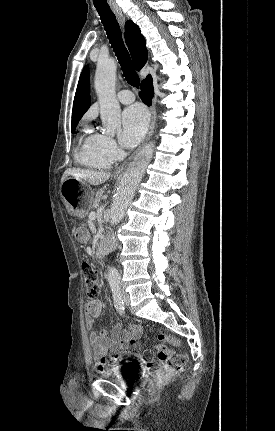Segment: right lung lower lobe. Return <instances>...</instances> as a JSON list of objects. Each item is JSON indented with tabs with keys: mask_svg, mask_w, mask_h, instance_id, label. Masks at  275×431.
Here are the masks:
<instances>
[{
	"mask_svg": "<svg viewBox=\"0 0 275 431\" xmlns=\"http://www.w3.org/2000/svg\"><path fill=\"white\" fill-rule=\"evenodd\" d=\"M154 94L153 82L151 75H148L141 83V92L139 93L142 101L148 106L151 105V99Z\"/></svg>",
	"mask_w": 275,
	"mask_h": 431,
	"instance_id": "98d812e1",
	"label": "right lung lower lobe"
}]
</instances>
